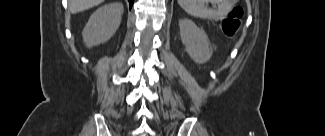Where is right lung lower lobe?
<instances>
[{
  "mask_svg": "<svg viewBox=\"0 0 325 136\" xmlns=\"http://www.w3.org/2000/svg\"><path fill=\"white\" fill-rule=\"evenodd\" d=\"M128 1H129V3H130V8H131L132 5H133L134 0H128Z\"/></svg>",
  "mask_w": 325,
  "mask_h": 136,
  "instance_id": "obj_1",
  "label": "right lung lower lobe"
}]
</instances>
